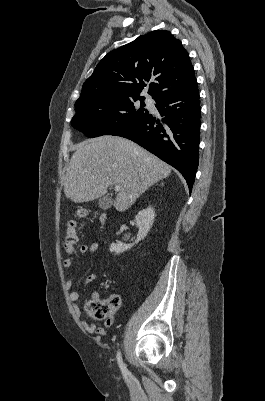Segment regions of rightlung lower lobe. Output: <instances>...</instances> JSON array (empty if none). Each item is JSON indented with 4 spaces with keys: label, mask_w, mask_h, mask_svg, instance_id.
I'll list each match as a JSON object with an SVG mask.
<instances>
[{
    "label": "right lung lower lobe",
    "mask_w": 265,
    "mask_h": 401,
    "mask_svg": "<svg viewBox=\"0 0 265 401\" xmlns=\"http://www.w3.org/2000/svg\"><path fill=\"white\" fill-rule=\"evenodd\" d=\"M164 118H145L112 135L128 138L175 167L191 191L199 163L200 104L197 81L189 88L155 99Z\"/></svg>",
    "instance_id": "obj_1"
}]
</instances>
